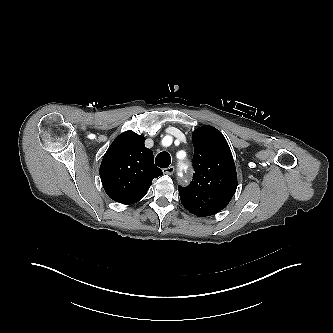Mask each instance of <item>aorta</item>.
<instances>
[{
    "instance_id": "762f6f07",
    "label": "aorta",
    "mask_w": 333,
    "mask_h": 333,
    "mask_svg": "<svg viewBox=\"0 0 333 333\" xmlns=\"http://www.w3.org/2000/svg\"><path fill=\"white\" fill-rule=\"evenodd\" d=\"M181 166H182V167H186V166H187V164H186V163H183Z\"/></svg>"
}]
</instances>
